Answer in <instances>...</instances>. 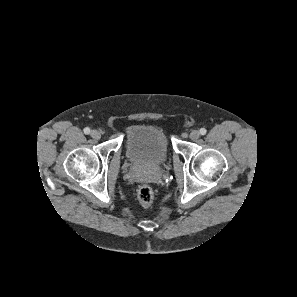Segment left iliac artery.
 <instances>
[{"label": "left iliac artery", "instance_id": "obj_1", "mask_svg": "<svg viewBox=\"0 0 297 297\" xmlns=\"http://www.w3.org/2000/svg\"><path fill=\"white\" fill-rule=\"evenodd\" d=\"M199 132L201 135H205L207 131L205 128H201Z\"/></svg>", "mask_w": 297, "mask_h": 297}]
</instances>
